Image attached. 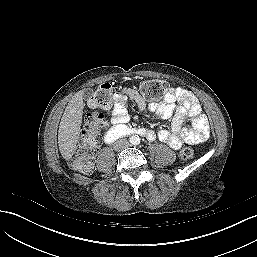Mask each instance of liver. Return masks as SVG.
<instances>
[{"instance_id":"obj_1","label":"liver","mask_w":257,"mask_h":257,"mask_svg":"<svg viewBox=\"0 0 257 257\" xmlns=\"http://www.w3.org/2000/svg\"><path fill=\"white\" fill-rule=\"evenodd\" d=\"M83 94L81 90L77 92L69 101L58 130V146L62 157L70 160L77 148L83 115Z\"/></svg>"}]
</instances>
